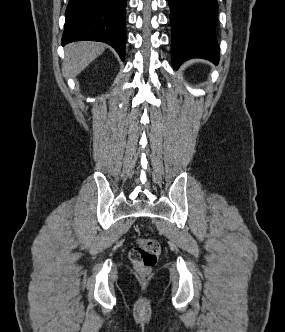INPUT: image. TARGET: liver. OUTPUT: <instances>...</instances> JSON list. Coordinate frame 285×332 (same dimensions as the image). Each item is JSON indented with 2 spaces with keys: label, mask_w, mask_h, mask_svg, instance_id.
<instances>
[{
  "label": "liver",
  "mask_w": 285,
  "mask_h": 332,
  "mask_svg": "<svg viewBox=\"0 0 285 332\" xmlns=\"http://www.w3.org/2000/svg\"><path fill=\"white\" fill-rule=\"evenodd\" d=\"M105 50L103 43L79 41L65 48L63 70L66 75L76 77Z\"/></svg>",
  "instance_id": "1"
}]
</instances>
